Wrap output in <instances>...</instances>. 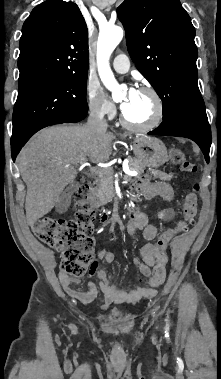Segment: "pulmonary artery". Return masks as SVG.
I'll list each match as a JSON object with an SVG mask.
<instances>
[{
  "instance_id": "pulmonary-artery-1",
  "label": "pulmonary artery",
  "mask_w": 221,
  "mask_h": 379,
  "mask_svg": "<svg viewBox=\"0 0 221 379\" xmlns=\"http://www.w3.org/2000/svg\"><path fill=\"white\" fill-rule=\"evenodd\" d=\"M112 66L118 73H126L130 68V62L125 54H119L114 58Z\"/></svg>"
}]
</instances>
